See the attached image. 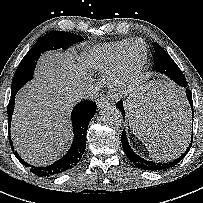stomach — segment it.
Listing matches in <instances>:
<instances>
[{
  "mask_svg": "<svg viewBox=\"0 0 203 203\" xmlns=\"http://www.w3.org/2000/svg\"><path fill=\"white\" fill-rule=\"evenodd\" d=\"M138 98H140L143 101L142 108H145L148 105V103H147V101L145 99V93H140L137 96H135L133 99H138Z\"/></svg>",
  "mask_w": 203,
  "mask_h": 203,
  "instance_id": "stomach-1",
  "label": "stomach"
}]
</instances>
